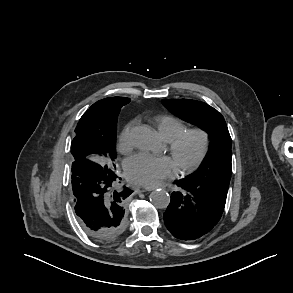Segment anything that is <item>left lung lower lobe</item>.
Listing matches in <instances>:
<instances>
[{"instance_id": "1", "label": "left lung lower lobe", "mask_w": 293, "mask_h": 293, "mask_svg": "<svg viewBox=\"0 0 293 293\" xmlns=\"http://www.w3.org/2000/svg\"><path fill=\"white\" fill-rule=\"evenodd\" d=\"M164 213L167 229L181 240H194L208 233L224 211L229 184L202 183L190 178L177 182Z\"/></svg>"}]
</instances>
